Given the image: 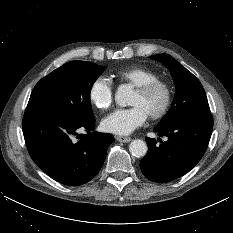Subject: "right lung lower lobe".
Listing matches in <instances>:
<instances>
[{
  "label": "right lung lower lobe",
  "instance_id": "1",
  "mask_svg": "<svg viewBox=\"0 0 233 233\" xmlns=\"http://www.w3.org/2000/svg\"><path fill=\"white\" fill-rule=\"evenodd\" d=\"M94 128L95 120L84 122L44 108H26L22 121L33 161L52 179L71 186L85 184L99 172L114 141L113 135ZM82 130L88 134H78Z\"/></svg>",
  "mask_w": 233,
  "mask_h": 233
}]
</instances>
